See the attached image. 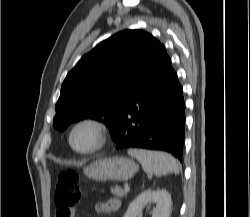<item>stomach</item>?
<instances>
[{"instance_id":"1","label":"stomach","mask_w":250,"mask_h":217,"mask_svg":"<svg viewBox=\"0 0 250 217\" xmlns=\"http://www.w3.org/2000/svg\"><path fill=\"white\" fill-rule=\"evenodd\" d=\"M136 172V163L124 157L99 159L84 168L85 175L95 181H127Z\"/></svg>"}]
</instances>
